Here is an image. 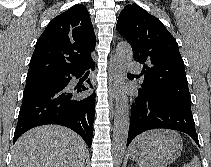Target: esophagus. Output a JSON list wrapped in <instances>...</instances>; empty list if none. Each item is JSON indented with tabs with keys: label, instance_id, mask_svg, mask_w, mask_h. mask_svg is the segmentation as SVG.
<instances>
[{
	"label": "esophagus",
	"instance_id": "obj_1",
	"mask_svg": "<svg viewBox=\"0 0 211 167\" xmlns=\"http://www.w3.org/2000/svg\"><path fill=\"white\" fill-rule=\"evenodd\" d=\"M117 89V76H116V65L113 57L110 59L109 64V94L111 100L116 97Z\"/></svg>",
	"mask_w": 211,
	"mask_h": 167
}]
</instances>
